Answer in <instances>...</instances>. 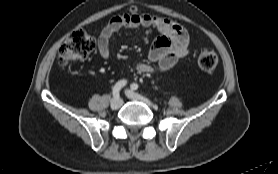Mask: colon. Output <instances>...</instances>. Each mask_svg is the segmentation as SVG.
<instances>
[{
  "label": "colon",
  "mask_w": 278,
  "mask_h": 174,
  "mask_svg": "<svg viewBox=\"0 0 278 174\" xmlns=\"http://www.w3.org/2000/svg\"><path fill=\"white\" fill-rule=\"evenodd\" d=\"M96 47L95 38L83 29L74 30L59 50L58 62L65 66L70 62L86 58ZM198 66L205 72L214 70L218 63L212 49H204L198 55Z\"/></svg>",
  "instance_id": "1"
}]
</instances>
